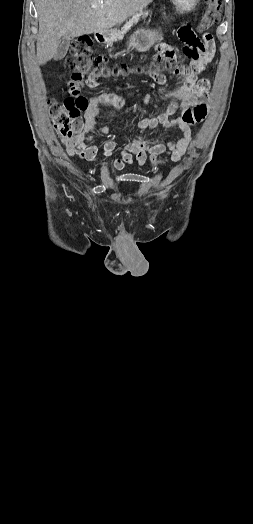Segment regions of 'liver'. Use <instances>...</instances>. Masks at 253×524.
<instances>
[{"mask_svg":"<svg viewBox=\"0 0 253 524\" xmlns=\"http://www.w3.org/2000/svg\"><path fill=\"white\" fill-rule=\"evenodd\" d=\"M153 0H35L38 13L37 60H51L64 38L106 33ZM97 4V8H92Z\"/></svg>","mask_w":253,"mask_h":524,"instance_id":"liver-1","label":"liver"}]
</instances>
